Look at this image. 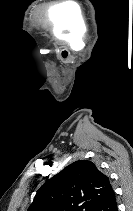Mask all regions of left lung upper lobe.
<instances>
[{"label":"left lung upper lobe","mask_w":133,"mask_h":211,"mask_svg":"<svg viewBox=\"0 0 133 211\" xmlns=\"http://www.w3.org/2000/svg\"><path fill=\"white\" fill-rule=\"evenodd\" d=\"M112 189L94 163L78 160L41 186L28 211H92Z\"/></svg>","instance_id":"left-lung-upper-lobe-1"}]
</instances>
